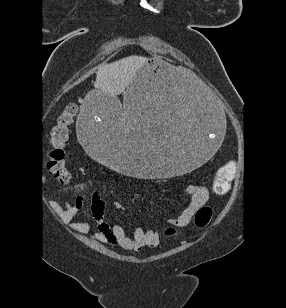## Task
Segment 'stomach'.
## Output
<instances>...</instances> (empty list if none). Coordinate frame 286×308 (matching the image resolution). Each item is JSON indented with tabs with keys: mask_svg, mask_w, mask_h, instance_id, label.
Instances as JSON below:
<instances>
[{
	"mask_svg": "<svg viewBox=\"0 0 286 308\" xmlns=\"http://www.w3.org/2000/svg\"><path fill=\"white\" fill-rule=\"evenodd\" d=\"M124 103L87 89L75 122L87 156L134 182H165L203 168L224 144L225 112L213 91L185 81L167 60H142Z\"/></svg>",
	"mask_w": 286,
	"mask_h": 308,
	"instance_id": "stomach-1",
	"label": "stomach"
}]
</instances>
